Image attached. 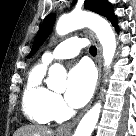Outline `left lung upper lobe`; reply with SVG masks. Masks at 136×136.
<instances>
[{"label": "left lung upper lobe", "instance_id": "1", "mask_svg": "<svg viewBox=\"0 0 136 136\" xmlns=\"http://www.w3.org/2000/svg\"><path fill=\"white\" fill-rule=\"evenodd\" d=\"M84 6L95 13L107 17L108 20L113 24V26L117 25V18L113 14L111 4L107 0H85ZM55 20L56 14L54 13L49 14L45 18L35 37L34 44L32 46L29 57H31L39 49L45 39L49 36L52 31Z\"/></svg>", "mask_w": 136, "mask_h": 136}]
</instances>
